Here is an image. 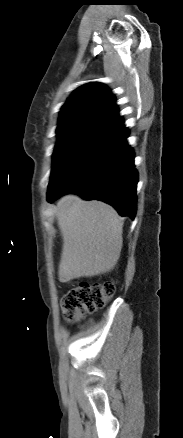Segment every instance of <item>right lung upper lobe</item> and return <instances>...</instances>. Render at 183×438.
Listing matches in <instances>:
<instances>
[{"mask_svg":"<svg viewBox=\"0 0 183 438\" xmlns=\"http://www.w3.org/2000/svg\"><path fill=\"white\" fill-rule=\"evenodd\" d=\"M119 118L115 97L100 83H89L76 89L60 111L57 132L76 128L99 130Z\"/></svg>","mask_w":183,"mask_h":438,"instance_id":"obj_1","label":"right lung upper lobe"}]
</instances>
